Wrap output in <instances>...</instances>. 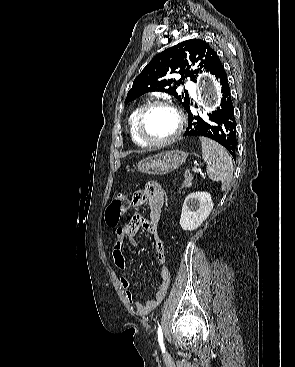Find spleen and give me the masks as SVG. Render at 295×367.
I'll use <instances>...</instances> for the list:
<instances>
[{"label": "spleen", "mask_w": 295, "mask_h": 367, "mask_svg": "<svg viewBox=\"0 0 295 367\" xmlns=\"http://www.w3.org/2000/svg\"><path fill=\"white\" fill-rule=\"evenodd\" d=\"M202 156L206 171L212 181H221L222 190L229 187L233 178V162L223 146L217 142L201 137Z\"/></svg>", "instance_id": "1"}]
</instances>
